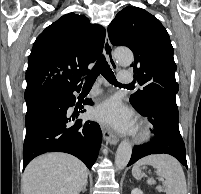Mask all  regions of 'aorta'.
I'll return each instance as SVG.
<instances>
[{"mask_svg":"<svg viewBox=\"0 0 201 194\" xmlns=\"http://www.w3.org/2000/svg\"><path fill=\"white\" fill-rule=\"evenodd\" d=\"M114 58L116 61L124 66H128L133 62V54L127 48H116L114 50ZM132 154V146L127 141H122L115 155V166L117 169H123L128 164Z\"/></svg>","mask_w":201,"mask_h":194,"instance_id":"762f6f07","label":"aorta"}]
</instances>
